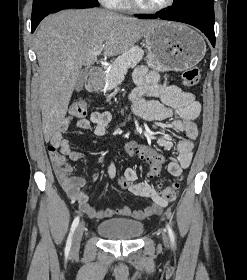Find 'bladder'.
Instances as JSON below:
<instances>
[{
    "label": "bladder",
    "instance_id": "1",
    "mask_svg": "<svg viewBox=\"0 0 247 280\" xmlns=\"http://www.w3.org/2000/svg\"><path fill=\"white\" fill-rule=\"evenodd\" d=\"M143 230L142 222L130 218H112L97 225V232L111 240H134L141 236Z\"/></svg>",
    "mask_w": 247,
    "mask_h": 280
}]
</instances>
